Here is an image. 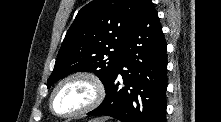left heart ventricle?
<instances>
[{"label": "left heart ventricle", "instance_id": "b2bd125f", "mask_svg": "<svg viewBox=\"0 0 221 122\" xmlns=\"http://www.w3.org/2000/svg\"><path fill=\"white\" fill-rule=\"evenodd\" d=\"M93 89L83 80H73L63 85L54 97V108L65 114L82 109L92 99Z\"/></svg>", "mask_w": 221, "mask_h": 122}]
</instances>
